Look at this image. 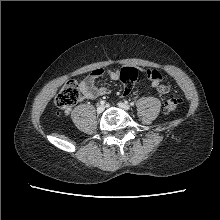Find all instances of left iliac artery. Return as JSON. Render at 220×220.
<instances>
[{
    "label": "left iliac artery",
    "mask_w": 220,
    "mask_h": 220,
    "mask_svg": "<svg viewBox=\"0 0 220 220\" xmlns=\"http://www.w3.org/2000/svg\"><path fill=\"white\" fill-rule=\"evenodd\" d=\"M130 105L133 106V105H134V102H131Z\"/></svg>",
    "instance_id": "44dca946"
}]
</instances>
